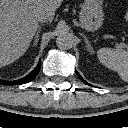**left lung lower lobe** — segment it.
I'll use <instances>...</instances> for the list:
<instances>
[{"label":"left lung lower lobe","instance_id":"0a47b994","mask_svg":"<svg viewBox=\"0 0 128 128\" xmlns=\"http://www.w3.org/2000/svg\"><path fill=\"white\" fill-rule=\"evenodd\" d=\"M76 73H77L78 77H79L85 84H88V83L80 76V74H79L78 72H76Z\"/></svg>","mask_w":128,"mask_h":128}]
</instances>
